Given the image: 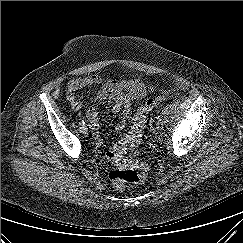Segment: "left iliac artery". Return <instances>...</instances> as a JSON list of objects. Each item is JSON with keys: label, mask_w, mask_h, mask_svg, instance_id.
Masks as SVG:
<instances>
[{"label": "left iliac artery", "mask_w": 243, "mask_h": 243, "mask_svg": "<svg viewBox=\"0 0 243 243\" xmlns=\"http://www.w3.org/2000/svg\"><path fill=\"white\" fill-rule=\"evenodd\" d=\"M157 119H158V121H161V116H158Z\"/></svg>", "instance_id": "left-iliac-artery-1"}]
</instances>
